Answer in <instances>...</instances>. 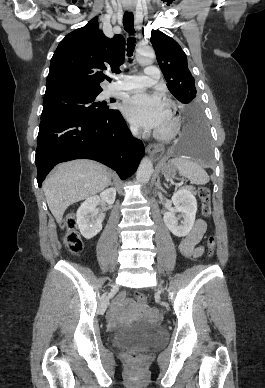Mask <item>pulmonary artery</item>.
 <instances>
[{"instance_id": "e3ab8cb5", "label": "pulmonary artery", "mask_w": 265, "mask_h": 388, "mask_svg": "<svg viewBox=\"0 0 265 388\" xmlns=\"http://www.w3.org/2000/svg\"><path fill=\"white\" fill-rule=\"evenodd\" d=\"M147 75H117L115 80L119 83L113 84V89L110 90L111 95H115V90H129L131 94H142L143 86H153L155 82H161V75L158 69H155V64H146ZM129 82V83H128Z\"/></svg>"}]
</instances>
